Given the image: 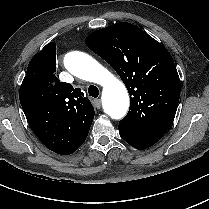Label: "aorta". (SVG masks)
Instances as JSON below:
<instances>
[{"instance_id": "obj_1", "label": "aorta", "mask_w": 209, "mask_h": 209, "mask_svg": "<svg viewBox=\"0 0 209 209\" xmlns=\"http://www.w3.org/2000/svg\"><path fill=\"white\" fill-rule=\"evenodd\" d=\"M64 64L73 75L103 87V108L112 118H123L129 108V96L124 84L90 55L72 51L65 55Z\"/></svg>"}]
</instances>
